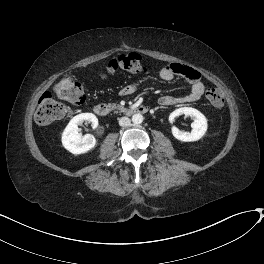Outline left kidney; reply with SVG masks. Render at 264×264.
<instances>
[{"instance_id": "1", "label": "left kidney", "mask_w": 264, "mask_h": 264, "mask_svg": "<svg viewBox=\"0 0 264 264\" xmlns=\"http://www.w3.org/2000/svg\"><path fill=\"white\" fill-rule=\"evenodd\" d=\"M180 115L192 117L194 121L191 123V132L180 131L177 127H172V134L176 139L184 142H191L197 141L204 136L208 125L206 117L200 111L191 107L178 108L170 114V123H173L174 119Z\"/></svg>"}]
</instances>
